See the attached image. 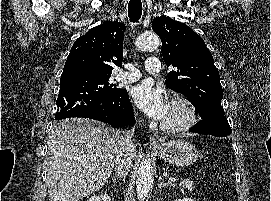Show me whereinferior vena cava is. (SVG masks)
Instances as JSON below:
<instances>
[{"instance_id": "obj_1", "label": "inferior vena cava", "mask_w": 271, "mask_h": 201, "mask_svg": "<svg viewBox=\"0 0 271 201\" xmlns=\"http://www.w3.org/2000/svg\"><path fill=\"white\" fill-rule=\"evenodd\" d=\"M133 136L134 128L117 130L115 139L118 144V150L114 160V167L117 178L124 180L131 168L133 155Z\"/></svg>"}]
</instances>
